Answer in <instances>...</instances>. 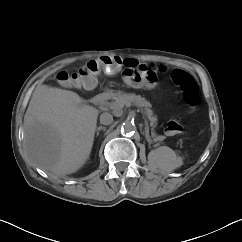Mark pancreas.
<instances>
[{
	"instance_id": "pancreas-1",
	"label": "pancreas",
	"mask_w": 242,
	"mask_h": 242,
	"mask_svg": "<svg viewBox=\"0 0 242 242\" xmlns=\"http://www.w3.org/2000/svg\"><path fill=\"white\" fill-rule=\"evenodd\" d=\"M114 102L112 104L118 105V108L115 110L122 109L124 106H129L131 104L144 108L145 115L148 117L150 121V126L152 127V130L156 127L157 125V117L153 114V111L151 110V104L149 101H147L145 98L141 97L140 95H135V94H129V93H124V94H114L113 95ZM152 136L154 137V140H163L162 136H156L154 132H152Z\"/></svg>"
}]
</instances>
